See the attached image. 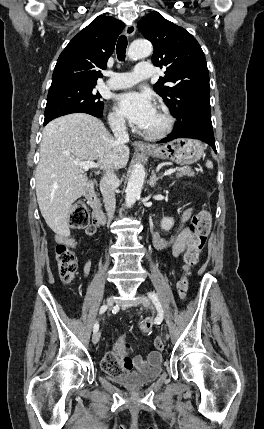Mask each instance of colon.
<instances>
[{"instance_id": "1", "label": "colon", "mask_w": 264, "mask_h": 429, "mask_svg": "<svg viewBox=\"0 0 264 429\" xmlns=\"http://www.w3.org/2000/svg\"><path fill=\"white\" fill-rule=\"evenodd\" d=\"M69 225L75 229L88 228L92 222L87 208L82 202H76L69 213ZM211 213L208 210H201L193 216L190 228L192 237L188 243L187 250L184 254L185 274L178 283V292L184 297L188 289V276L191 269L197 264L199 255L205 245L207 235L211 226ZM56 259L61 279L65 283H70L77 269L75 253L64 243H58L56 246ZM154 319L147 317L140 323V329L148 333L154 327ZM156 349L162 350L164 342L161 338L154 340ZM103 368L112 375H121L127 373L121 361L113 356L107 355L103 360Z\"/></svg>"}]
</instances>
